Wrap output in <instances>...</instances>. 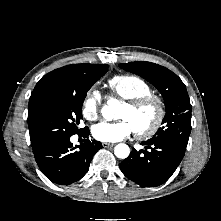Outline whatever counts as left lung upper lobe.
<instances>
[{"label":"left lung upper lobe","mask_w":221,"mask_h":221,"mask_svg":"<svg viewBox=\"0 0 221 221\" xmlns=\"http://www.w3.org/2000/svg\"><path fill=\"white\" fill-rule=\"evenodd\" d=\"M119 67L146 79L163 96L166 108L163 126L150 140L167 141L186 149L191 132L192 107L181 79L169 69L151 62L123 63Z\"/></svg>","instance_id":"5c2ea615"}]
</instances>
